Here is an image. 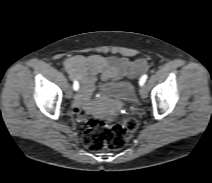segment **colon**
<instances>
[{"label":"colon","instance_id":"obj_1","mask_svg":"<svg viewBox=\"0 0 212 183\" xmlns=\"http://www.w3.org/2000/svg\"><path fill=\"white\" fill-rule=\"evenodd\" d=\"M137 128L138 121L134 117H128L115 125H109L100 118L89 119L83 135V142L92 151H100L105 148L118 150L127 144Z\"/></svg>","mask_w":212,"mask_h":183}]
</instances>
